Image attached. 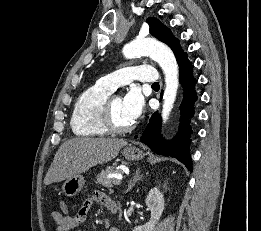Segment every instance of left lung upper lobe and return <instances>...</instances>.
I'll return each mask as SVG.
<instances>
[{"label": "left lung upper lobe", "instance_id": "1", "mask_svg": "<svg viewBox=\"0 0 261 231\" xmlns=\"http://www.w3.org/2000/svg\"><path fill=\"white\" fill-rule=\"evenodd\" d=\"M147 23L150 26V33L161 42L167 44L175 54L177 62L186 55L176 39L171 33L170 29L163 25L158 19L149 17Z\"/></svg>", "mask_w": 261, "mask_h": 231}]
</instances>
